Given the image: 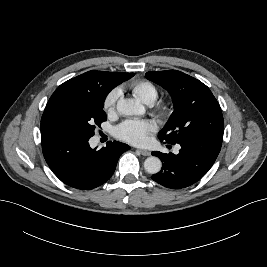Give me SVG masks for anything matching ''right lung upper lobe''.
I'll return each mask as SVG.
<instances>
[{
  "mask_svg": "<svg viewBox=\"0 0 267 267\" xmlns=\"http://www.w3.org/2000/svg\"><path fill=\"white\" fill-rule=\"evenodd\" d=\"M131 74L133 73L88 71L64 82L56 90L85 92L101 88L109 93L114 87L122 83L123 80Z\"/></svg>",
  "mask_w": 267,
  "mask_h": 267,
  "instance_id": "cb5924a9",
  "label": "right lung upper lobe"
}]
</instances>
